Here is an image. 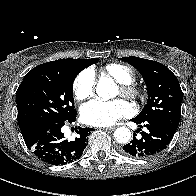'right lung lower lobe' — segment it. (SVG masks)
<instances>
[{
  "label": "right lung lower lobe",
  "instance_id": "1",
  "mask_svg": "<svg viewBox=\"0 0 196 196\" xmlns=\"http://www.w3.org/2000/svg\"><path fill=\"white\" fill-rule=\"evenodd\" d=\"M74 115L67 121H75ZM66 121L36 124L22 132L26 146L43 162L64 165L79 159L86 148V137L92 128L76 129L78 136L73 141L64 138L61 127Z\"/></svg>",
  "mask_w": 196,
  "mask_h": 196
}]
</instances>
